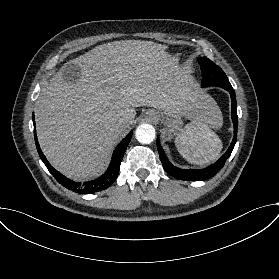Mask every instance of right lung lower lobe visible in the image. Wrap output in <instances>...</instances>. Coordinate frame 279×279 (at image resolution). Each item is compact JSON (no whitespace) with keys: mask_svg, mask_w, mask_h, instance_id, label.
I'll list each match as a JSON object with an SVG mask.
<instances>
[{"mask_svg":"<svg viewBox=\"0 0 279 279\" xmlns=\"http://www.w3.org/2000/svg\"><path fill=\"white\" fill-rule=\"evenodd\" d=\"M33 118V123H34V136H35V142H36V147L37 151L39 153V156L43 163L46 165L48 168L49 172L55 177V179L64 187L67 189L79 193V194H92L95 192L102 191L104 189H107L110 187L113 182L116 180L119 170H120V164L123 159L124 153L127 149V146L131 140L132 137V132H130L124 139L123 141L118 145V147L115 149L111 163L109 165V168L107 171L99 178L95 180H90L87 182H83L82 184L80 182H74L71 179H68L67 177L63 176L60 172L55 170L44 154L42 153L37 136H36V130H35V120H34V114L32 115Z\"/></svg>","mask_w":279,"mask_h":279,"instance_id":"1","label":"right lung lower lobe"}]
</instances>
